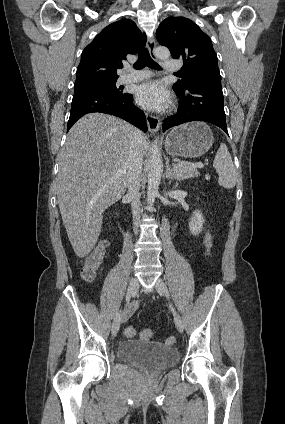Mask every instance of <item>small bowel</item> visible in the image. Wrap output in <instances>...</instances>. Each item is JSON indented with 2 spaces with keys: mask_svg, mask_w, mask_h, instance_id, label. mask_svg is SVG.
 <instances>
[{
  "mask_svg": "<svg viewBox=\"0 0 285 424\" xmlns=\"http://www.w3.org/2000/svg\"><path fill=\"white\" fill-rule=\"evenodd\" d=\"M137 305H138V302H134V303L131 305V307H130V308L125 309V310H127V316H128V318L131 316L132 311H133V308H135Z\"/></svg>",
  "mask_w": 285,
  "mask_h": 424,
  "instance_id": "1",
  "label": "small bowel"
}]
</instances>
